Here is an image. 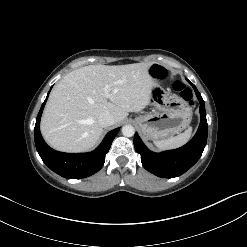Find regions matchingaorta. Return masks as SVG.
<instances>
[{
  "instance_id": "obj_1",
  "label": "aorta",
  "mask_w": 247,
  "mask_h": 247,
  "mask_svg": "<svg viewBox=\"0 0 247 247\" xmlns=\"http://www.w3.org/2000/svg\"><path fill=\"white\" fill-rule=\"evenodd\" d=\"M135 133V129L131 125H125L122 127V134L126 137H132Z\"/></svg>"
}]
</instances>
